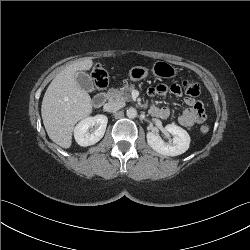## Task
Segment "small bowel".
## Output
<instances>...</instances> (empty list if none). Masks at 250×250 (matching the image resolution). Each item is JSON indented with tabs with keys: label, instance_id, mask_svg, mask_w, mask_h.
<instances>
[{
	"label": "small bowel",
	"instance_id": "small-bowel-1",
	"mask_svg": "<svg viewBox=\"0 0 250 250\" xmlns=\"http://www.w3.org/2000/svg\"><path fill=\"white\" fill-rule=\"evenodd\" d=\"M168 90H170L173 95L178 96L182 93L183 88L179 84H174L170 86V88H168L164 84H159L155 87L149 88L148 94L151 96L163 95ZM184 102L188 106V108H186L178 117L179 123L184 127H191L195 124L202 123L206 117L202 103L191 97H185ZM150 111L153 116L162 119H167L171 114L170 110L166 107L152 106L150 108Z\"/></svg>",
	"mask_w": 250,
	"mask_h": 250
}]
</instances>
